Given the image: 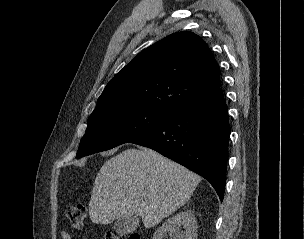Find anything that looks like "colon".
Instances as JSON below:
<instances>
[{"instance_id":"1","label":"colon","mask_w":304,"mask_h":239,"mask_svg":"<svg viewBox=\"0 0 304 239\" xmlns=\"http://www.w3.org/2000/svg\"><path fill=\"white\" fill-rule=\"evenodd\" d=\"M65 215L74 229L83 228L87 217V212L84 205L81 204L67 205L65 209ZM105 239H142V238L138 233H132L126 235V234H119L114 231H107L105 235Z\"/></svg>"}]
</instances>
